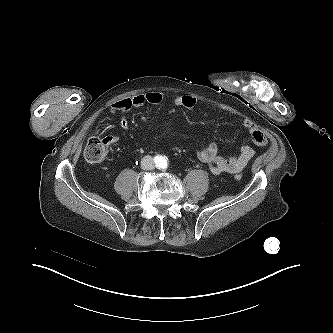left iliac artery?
Masks as SVG:
<instances>
[{"mask_svg": "<svg viewBox=\"0 0 333 333\" xmlns=\"http://www.w3.org/2000/svg\"><path fill=\"white\" fill-rule=\"evenodd\" d=\"M160 167H161L162 169H166V168H167V161H166L165 159H163V161L161 162Z\"/></svg>", "mask_w": 333, "mask_h": 333, "instance_id": "obj_1", "label": "left iliac artery"}]
</instances>
